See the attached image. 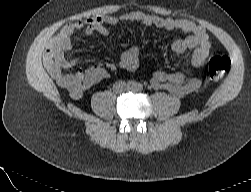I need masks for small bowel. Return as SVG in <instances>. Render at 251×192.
I'll return each instance as SVG.
<instances>
[{"label":"small bowel","instance_id":"small-bowel-1","mask_svg":"<svg viewBox=\"0 0 251 192\" xmlns=\"http://www.w3.org/2000/svg\"><path fill=\"white\" fill-rule=\"evenodd\" d=\"M123 19H131L146 24H153L166 29H181L189 32L191 35L184 40L176 41L173 46V52L180 55L188 49H194L191 62L194 67L201 66L209 53V37L205 30L192 21L186 19L162 18L155 15H148L143 12H131L124 14ZM118 18L110 15H98L85 21L73 22L65 25L61 31L51 38L47 44L48 55L52 59L55 67H70L77 63V59L67 60L63 51L71 47L70 35L75 29L86 25L87 33L98 32L105 34L107 32L104 24L115 23ZM119 66L124 69L134 70L139 64V50L137 46H132L124 51L119 59ZM108 76L106 70L100 67H92L86 71L76 72L74 74L62 76V79L68 85L73 97L78 98L83 91L99 83ZM152 86L165 88L177 96H184L198 87L197 79H187L182 73H166L157 71L154 73Z\"/></svg>","mask_w":251,"mask_h":192}]
</instances>
